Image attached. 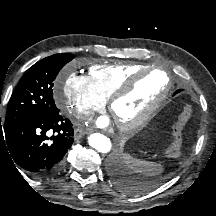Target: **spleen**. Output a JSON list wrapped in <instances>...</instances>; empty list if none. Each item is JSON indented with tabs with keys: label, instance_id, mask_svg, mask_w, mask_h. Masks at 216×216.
Instances as JSON below:
<instances>
[{
	"label": "spleen",
	"instance_id": "1",
	"mask_svg": "<svg viewBox=\"0 0 216 216\" xmlns=\"http://www.w3.org/2000/svg\"><path fill=\"white\" fill-rule=\"evenodd\" d=\"M125 165L133 172L139 173L144 176H154L162 172L161 165L145 161L141 159L134 158L129 154L123 156Z\"/></svg>",
	"mask_w": 216,
	"mask_h": 216
}]
</instances>
